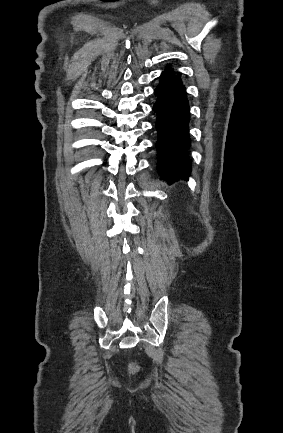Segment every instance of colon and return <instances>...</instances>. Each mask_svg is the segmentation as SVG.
Listing matches in <instances>:
<instances>
[{
  "instance_id": "obj_1",
  "label": "colon",
  "mask_w": 283,
  "mask_h": 433,
  "mask_svg": "<svg viewBox=\"0 0 283 433\" xmlns=\"http://www.w3.org/2000/svg\"><path fill=\"white\" fill-rule=\"evenodd\" d=\"M136 369H137V367H136L135 364H132V365L130 366V370H131L132 372H134Z\"/></svg>"
}]
</instances>
